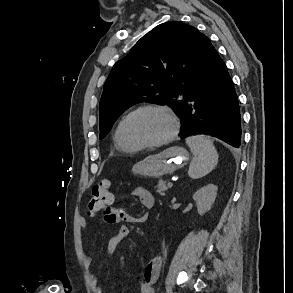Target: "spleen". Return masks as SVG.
<instances>
[{"label":"spleen","instance_id":"1","mask_svg":"<svg viewBox=\"0 0 293 293\" xmlns=\"http://www.w3.org/2000/svg\"><path fill=\"white\" fill-rule=\"evenodd\" d=\"M194 155L188 174L193 179H199L210 173L218 163V153L213 142L204 135L191 136L186 139Z\"/></svg>","mask_w":293,"mask_h":293}]
</instances>
